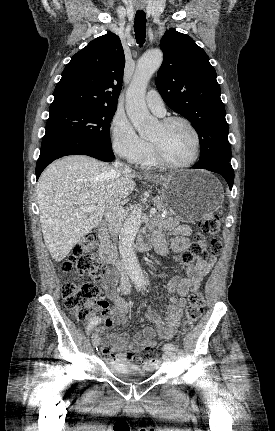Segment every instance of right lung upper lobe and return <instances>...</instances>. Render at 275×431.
I'll return each mask as SVG.
<instances>
[{"mask_svg":"<svg viewBox=\"0 0 275 431\" xmlns=\"http://www.w3.org/2000/svg\"><path fill=\"white\" fill-rule=\"evenodd\" d=\"M125 56L117 35L108 32L77 52L54 90L50 113L71 108L117 107Z\"/></svg>","mask_w":275,"mask_h":431,"instance_id":"cb5924a9","label":"right lung upper lobe"}]
</instances>
